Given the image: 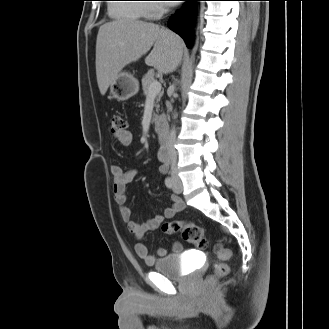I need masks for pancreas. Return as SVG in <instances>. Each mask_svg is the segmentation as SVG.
I'll list each match as a JSON object with an SVG mask.
<instances>
[{
    "mask_svg": "<svg viewBox=\"0 0 329 329\" xmlns=\"http://www.w3.org/2000/svg\"><path fill=\"white\" fill-rule=\"evenodd\" d=\"M153 81H155L153 73H147L142 78V89H143L144 95L146 97H149V87H150V85ZM162 95H163V92H159L155 97V100H156L155 107H156V112L157 113H158V109H159V104L158 103L160 102V99H161ZM157 118H158V115L156 113H154L153 114V121L156 122Z\"/></svg>",
    "mask_w": 329,
    "mask_h": 329,
    "instance_id": "obj_1",
    "label": "pancreas"
}]
</instances>
